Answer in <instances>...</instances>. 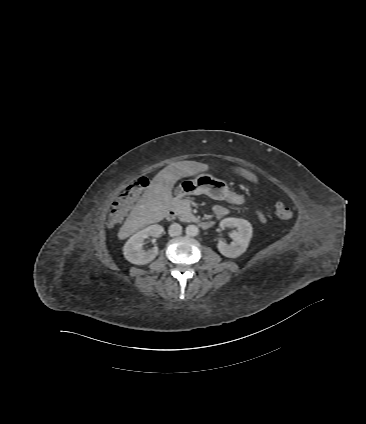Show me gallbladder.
<instances>
[{
	"mask_svg": "<svg viewBox=\"0 0 366 424\" xmlns=\"http://www.w3.org/2000/svg\"><path fill=\"white\" fill-rule=\"evenodd\" d=\"M174 193L175 195H178L180 193V189L179 188L175 189Z\"/></svg>",
	"mask_w": 366,
	"mask_h": 424,
	"instance_id": "gallbladder-1",
	"label": "gallbladder"
}]
</instances>
